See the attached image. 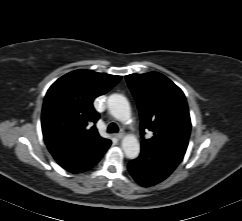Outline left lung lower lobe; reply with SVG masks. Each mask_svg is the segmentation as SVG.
<instances>
[{
    "label": "left lung lower lobe",
    "instance_id": "left-lung-lower-lobe-1",
    "mask_svg": "<svg viewBox=\"0 0 242 221\" xmlns=\"http://www.w3.org/2000/svg\"><path fill=\"white\" fill-rule=\"evenodd\" d=\"M178 164L163 154L142 148L139 157L129 162L128 170L136 182L148 187L166 179Z\"/></svg>",
    "mask_w": 242,
    "mask_h": 221
}]
</instances>
